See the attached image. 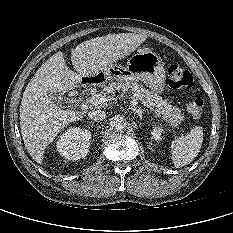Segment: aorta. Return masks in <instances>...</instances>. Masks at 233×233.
Returning <instances> with one entry per match:
<instances>
[{
	"label": "aorta",
	"mask_w": 233,
	"mask_h": 233,
	"mask_svg": "<svg viewBox=\"0 0 233 233\" xmlns=\"http://www.w3.org/2000/svg\"><path fill=\"white\" fill-rule=\"evenodd\" d=\"M110 126L116 131L124 130L126 128V119L121 115H115L110 119Z\"/></svg>",
	"instance_id": "obj_1"
}]
</instances>
